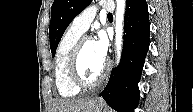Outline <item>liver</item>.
I'll return each mask as SVG.
<instances>
[{
  "label": "liver",
  "instance_id": "6515ba94",
  "mask_svg": "<svg viewBox=\"0 0 193 112\" xmlns=\"http://www.w3.org/2000/svg\"><path fill=\"white\" fill-rule=\"evenodd\" d=\"M93 99H60L53 105L54 112H91Z\"/></svg>",
  "mask_w": 193,
  "mask_h": 112
}]
</instances>
